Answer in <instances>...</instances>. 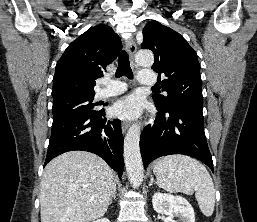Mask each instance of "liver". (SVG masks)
Masks as SVG:
<instances>
[{"label":"liver","instance_id":"1","mask_svg":"<svg viewBox=\"0 0 257 222\" xmlns=\"http://www.w3.org/2000/svg\"><path fill=\"white\" fill-rule=\"evenodd\" d=\"M116 187L108 164L93 153L70 151L51 160L41 181V222H91L107 211Z\"/></svg>","mask_w":257,"mask_h":222}]
</instances>
